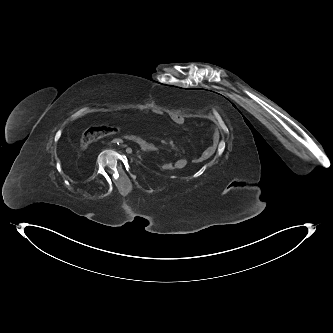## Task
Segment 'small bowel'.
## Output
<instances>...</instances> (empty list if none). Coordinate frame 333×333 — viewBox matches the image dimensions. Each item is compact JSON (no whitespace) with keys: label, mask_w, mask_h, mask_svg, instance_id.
Segmentation results:
<instances>
[{"label":"small bowel","mask_w":333,"mask_h":333,"mask_svg":"<svg viewBox=\"0 0 333 333\" xmlns=\"http://www.w3.org/2000/svg\"><path fill=\"white\" fill-rule=\"evenodd\" d=\"M171 121L175 124L181 125L185 122V117L180 114H174L171 116ZM219 143V136L217 130L214 128L212 143L211 145L203 152V154L196 159V162H202L204 160L209 159L216 151V148ZM176 169H182L187 165V160L185 158L178 159L174 163H172Z\"/></svg>","instance_id":"obj_1"}]
</instances>
